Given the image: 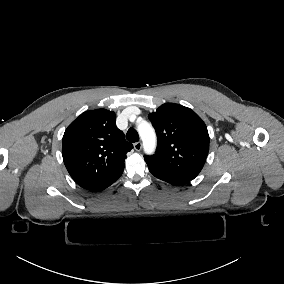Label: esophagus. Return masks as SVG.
I'll list each match as a JSON object with an SVG mask.
<instances>
[{
	"instance_id": "34e87169",
	"label": "esophagus",
	"mask_w": 284,
	"mask_h": 284,
	"mask_svg": "<svg viewBox=\"0 0 284 284\" xmlns=\"http://www.w3.org/2000/svg\"><path fill=\"white\" fill-rule=\"evenodd\" d=\"M134 149L136 151H140L142 149V143L141 142L134 143Z\"/></svg>"
}]
</instances>
